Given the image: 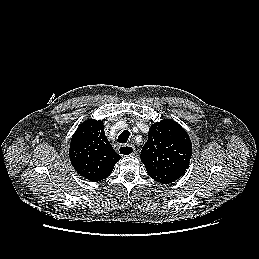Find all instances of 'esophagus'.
<instances>
[{"instance_id": "1", "label": "esophagus", "mask_w": 259, "mask_h": 259, "mask_svg": "<svg viewBox=\"0 0 259 259\" xmlns=\"http://www.w3.org/2000/svg\"><path fill=\"white\" fill-rule=\"evenodd\" d=\"M118 152L121 156L127 157L135 153V148L132 145H120L118 147Z\"/></svg>"}]
</instances>
